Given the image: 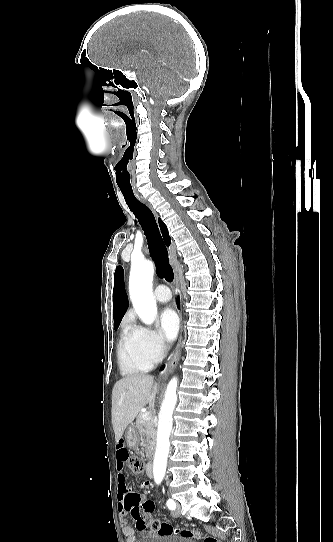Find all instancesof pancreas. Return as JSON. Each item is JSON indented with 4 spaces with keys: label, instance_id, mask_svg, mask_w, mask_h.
<instances>
[{
    "label": "pancreas",
    "instance_id": "1",
    "mask_svg": "<svg viewBox=\"0 0 333 542\" xmlns=\"http://www.w3.org/2000/svg\"><path fill=\"white\" fill-rule=\"evenodd\" d=\"M144 412H140L136 420V428L140 434L141 446L146 450V458H153L156 444V430L153 420H144Z\"/></svg>",
    "mask_w": 333,
    "mask_h": 542
}]
</instances>
